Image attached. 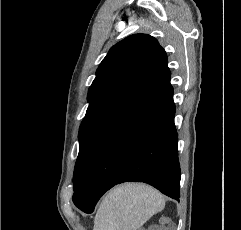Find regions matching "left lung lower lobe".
I'll return each instance as SVG.
<instances>
[{"label":"left lung lower lobe","mask_w":241,"mask_h":230,"mask_svg":"<svg viewBox=\"0 0 241 230\" xmlns=\"http://www.w3.org/2000/svg\"><path fill=\"white\" fill-rule=\"evenodd\" d=\"M175 105L170 81L98 152L83 185L79 203L92 213L99 198L116 184L148 183L174 199L180 197V166Z\"/></svg>","instance_id":"1"}]
</instances>
